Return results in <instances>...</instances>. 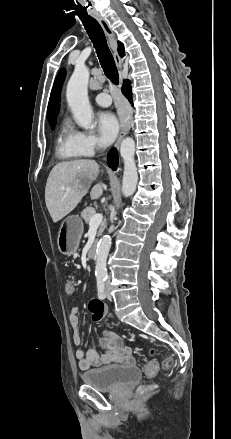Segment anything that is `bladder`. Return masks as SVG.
<instances>
[{"label":"bladder","instance_id":"obj_1","mask_svg":"<svg viewBox=\"0 0 231 439\" xmlns=\"http://www.w3.org/2000/svg\"><path fill=\"white\" fill-rule=\"evenodd\" d=\"M84 384L103 391H115L139 379L140 370L132 365H113L81 374Z\"/></svg>","mask_w":231,"mask_h":439}]
</instances>
